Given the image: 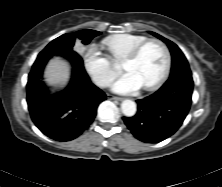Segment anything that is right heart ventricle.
Masks as SVG:
<instances>
[{
    "mask_svg": "<svg viewBox=\"0 0 222 187\" xmlns=\"http://www.w3.org/2000/svg\"><path fill=\"white\" fill-rule=\"evenodd\" d=\"M148 38L142 35L135 34H115L106 37L103 40V45L110 52L115 60L123 61V59L140 43Z\"/></svg>",
    "mask_w": 222,
    "mask_h": 187,
    "instance_id": "1",
    "label": "right heart ventricle"
}]
</instances>
